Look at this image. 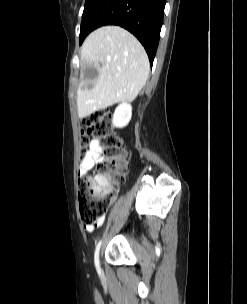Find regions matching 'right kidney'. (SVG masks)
Returning <instances> with one entry per match:
<instances>
[{"label":"right kidney","mask_w":247,"mask_h":304,"mask_svg":"<svg viewBox=\"0 0 247 304\" xmlns=\"http://www.w3.org/2000/svg\"><path fill=\"white\" fill-rule=\"evenodd\" d=\"M132 107L128 103L120 104L114 112L112 123L115 127H125L131 120Z\"/></svg>","instance_id":"right-kidney-1"}]
</instances>
